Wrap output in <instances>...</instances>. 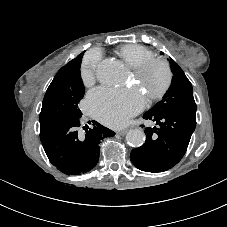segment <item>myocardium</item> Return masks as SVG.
Listing matches in <instances>:
<instances>
[{
  "label": "myocardium",
  "mask_w": 227,
  "mask_h": 227,
  "mask_svg": "<svg viewBox=\"0 0 227 227\" xmlns=\"http://www.w3.org/2000/svg\"><path fill=\"white\" fill-rule=\"evenodd\" d=\"M154 67H160L163 70L164 81L160 88L149 97L150 101L159 100L168 92L173 80V73L169 63L164 59L152 58L133 68L134 78L140 81Z\"/></svg>",
  "instance_id": "f54148a6"
}]
</instances>
